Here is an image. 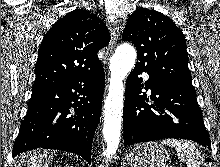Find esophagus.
Returning <instances> with one entry per match:
<instances>
[{"label":"esophagus","mask_w":220,"mask_h":167,"mask_svg":"<svg viewBox=\"0 0 220 167\" xmlns=\"http://www.w3.org/2000/svg\"><path fill=\"white\" fill-rule=\"evenodd\" d=\"M107 23L109 25V31L111 34V39L107 46V52H106L107 59H109V57L114 52L115 47L117 45V41L119 38V25L117 21H114V20H108Z\"/></svg>","instance_id":"obj_1"}]
</instances>
